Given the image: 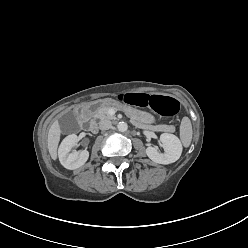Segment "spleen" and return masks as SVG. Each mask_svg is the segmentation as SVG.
Wrapping results in <instances>:
<instances>
[{"label":"spleen","mask_w":248,"mask_h":248,"mask_svg":"<svg viewBox=\"0 0 248 248\" xmlns=\"http://www.w3.org/2000/svg\"><path fill=\"white\" fill-rule=\"evenodd\" d=\"M192 124L188 117H183L180 125V140L184 147H188L192 141Z\"/></svg>","instance_id":"obj_1"}]
</instances>
